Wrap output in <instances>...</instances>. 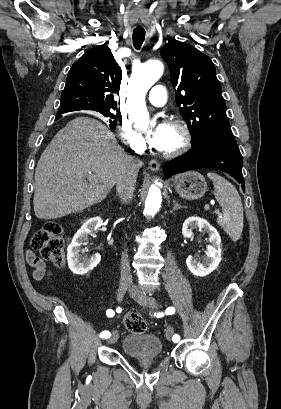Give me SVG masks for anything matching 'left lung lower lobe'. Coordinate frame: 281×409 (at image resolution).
I'll return each instance as SVG.
<instances>
[{"instance_id": "obj_1", "label": "left lung lower lobe", "mask_w": 281, "mask_h": 409, "mask_svg": "<svg viewBox=\"0 0 281 409\" xmlns=\"http://www.w3.org/2000/svg\"><path fill=\"white\" fill-rule=\"evenodd\" d=\"M242 164V155L236 144L204 141L194 144L193 149L182 157L166 163L163 172L170 176L195 168L212 167L230 174L245 191Z\"/></svg>"}]
</instances>
